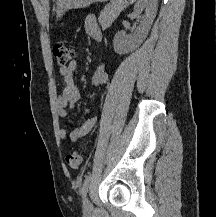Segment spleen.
<instances>
[{"label":"spleen","mask_w":216,"mask_h":217,"mask_svg":"<svg viewBox=\"0 0 216 217\" xmlns=\"http://www.w3.org/2000/svg\"><path fill=\"white\" fill-rule=\"evenodd\" d=\"M136 0H130V3H133V2H135Z\"/></svg>","instance_id":"obj_1"}]
</instances>
